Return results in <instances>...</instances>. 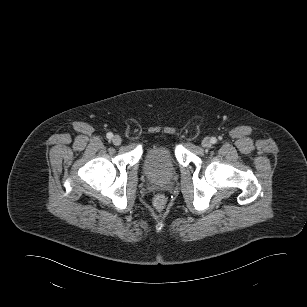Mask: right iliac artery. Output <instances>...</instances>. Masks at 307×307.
Instances as JSON below:
<instances>
[{"instance_id": "1", "label": "right iliac artery", "mask_w": 307, "mask_h": 307, "mask_svg": "<svg viewBox=\"0 0 307 307\" xmlns=\"http://www.w3.org/2000/svg\"><path fill=\"white\" fill-rule=\"evenodd\" d=\"M106 136H107V138H108V139H112L113 134H112L111 132H109V133H107V135H106Z\"/></svg>"}]
</instances>
